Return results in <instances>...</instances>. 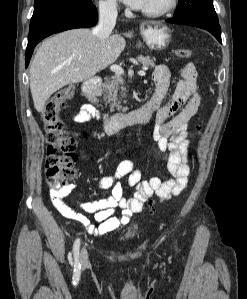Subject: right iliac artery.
<instances>
[{
    "instance_id": "1",
    "label": "right iliac artery",
    "mask_w": 247,
    "mask_h": 299,
    "mask_svg": "<svg viewBox=\"0 0 247 299\" xmlns=\"http://www.w3.org/2000/svg\"><path fill=\"white\" fill-rule=\"evenodd\" d=\"M79 249H80V239H76L73 245V255H74V271L78 274L81 269V264L79 262Z\"/></svg>"
}]
</instances>
